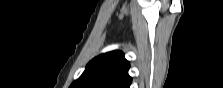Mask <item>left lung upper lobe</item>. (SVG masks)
I'll return each instance as SVG.
<instances>
[{
    "label": "left lung upper lobe",
    "mask_w": 223,
    "mask_h": 88,
    "mask_svg": "<svg viewBox=\"0 0 223 88\" xmlns=\"http://www.w3.org/2000/svg\"><path fill=\"white\" fill-rule=\"evenodd\" d=\"M129 62L121 51L102 54L92 59L84 73L70 88H129Z\"/></svg>",
    "instance_id": "1"
}]
</instances>
